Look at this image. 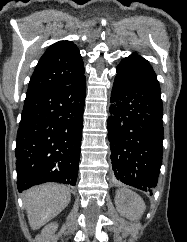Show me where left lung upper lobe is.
Masks as SVG:
<instances>
[{"label": "left lung upper lobe", "mask_w": 187, "mask_h": 242, "mask_svg": "<svg viewBox=\"0 0 187 242\" xmlns=\"http://www.w3.org/2000/svg\"><path fill=\"white\" fill-rule=\"evenodd\" d=\"M117 74L147 89L160 93L156 74L149 62L136 53L124 58L117 67Z\"/></svg>", "instance_id": "left-lung-upper-lobe-1"}]
</instances>
